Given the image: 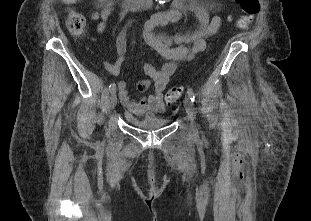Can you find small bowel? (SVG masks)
Here are the masks:
<instances>
[{"label":"small bowel","mask_w":311,"mask_h":221,"mask_svg":"<svg viewBox=\"0 0 311 221\" xmlns=\"http://www.w3.org/2000/svg\"><path fill=\"white\" fill-rule=\"evenodd\" d=\"M116 0H100L97 10L91 13V20L100 22L98 32L102 33L106 28V21L111 15ZM186 12H192L197 17V27L191 31L180 32L175 35H167L156 32L158 26L182 21ZM221 25L218 16L210 17L207 10L198 0H173V8L154 14L148 20L142 22V36L145 42L152 47L166 61L158 69L151 63L144 64V70L149 79L141 80L137 89L141 92L153 85V91L148 96L134 100L129 97L126 82L117 84L119 97L124 106L135 115L145 113H162L164 107V92L169 78L175 73L179 62L190 61L206 48L205 38L214 35ZM126 30H123L117 39L118 58L114 64H106L108 71L116 75L125 62Z\"/></svg>","instance_id":"small-bowel-1"}]
</instances>
